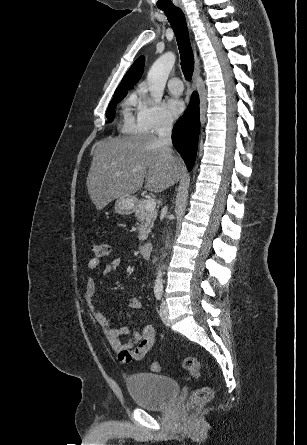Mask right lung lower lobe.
Returning <instances> with one entry per match:
<instances>
[{
    "mask_svg": "<svg viewBox=\"0 0 307 445\" xmlns=\"http://www.w3.org/2000/svg\"><path fill=\"white\" fill-rule=\"evenodd\" d=\"M199 127V98L198 94L194 92L190 105L183 116L177 121L172 132L173 145L182 156L188 170H191L194 165Z\"/></svg>",
    "mask_w": 307,
    "mask_h": 445,
    "instance_id": "98d812e1",
    "label": "right lung lower lobe"
}]
</instances>
